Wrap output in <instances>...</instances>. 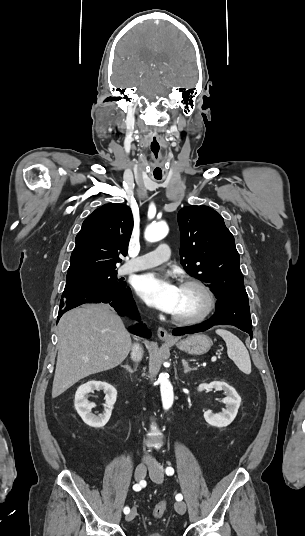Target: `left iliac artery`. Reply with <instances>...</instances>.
Returning a JSON list of instances; mask_svg holds the SVG:
<instances>
[{"instance_id": "obj_1", "label": "left iliac artery", "mask_w": 305, "mask_h": 536, "mask_svg": "<svg viewBox=\"0 0 305 536\" xmlns=\"http://www.w3.org/2000/svg\"><path fill=\"white\" fill-rule=\"evenodd\" d=\"M165 471H166L167 475H173V473H174V469L171 468V467H167ZM182 499H183V496L181 494L176 495V500L177 501H181Z\"/></svg>"}]
</instances>
